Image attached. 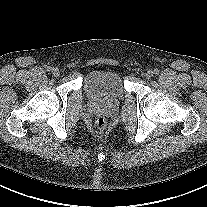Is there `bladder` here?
Wrapping results in <instances>:
<instances>
[{"mask_svg":"<svg viewBox=\"0 0 207 207\" xmlns=\"http://www.w3.org/2000/svg\"><path fill=\"white\" fill-rule=\"evenodd\" d=\"M87 94L95 100L111 101L123 96L125 89L122 76L114 70H96L84 81Z\"/></svg>","mask_w":207,"mask_h":207,"instance_id":"1","label":"bladder"}]
</instances>
